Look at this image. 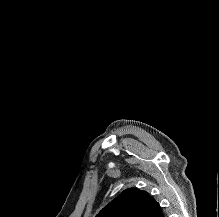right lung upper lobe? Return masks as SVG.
Masks as SVG:
<instances>
[{"instance_id": "cb5924a9", "label": "right lung upper lobe", "mask_w": 219, "mask_h": 217, "mask_svg": "<svg viewBox=\"0 0 219 217\" xmlns=\"http://www.w3.org/2000/svg\"><path fill=\"white\" fill-rule=\"evenodd\" d=\"M96 217H165L157 201L146 191L124 190L105 206Z\"/></svg>"}]
</instances>
